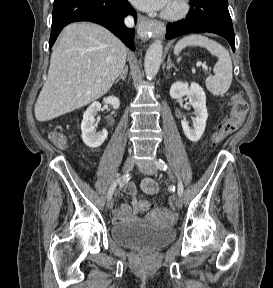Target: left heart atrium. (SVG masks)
I'll return each instance as SVG.
<instances>
[{"label":"left heart atrium","mask_w":273,"mask_h":288,"mask_svg":"<svg viewBox=\"0 0 273 288\" xmlns=\"http://www.w3.org/2000/svg\"><path fill=\"white\" fill-rule=\"evenodd\" d=\"M137 8L143 11H157L165 9L171 0H130Z\"/></svg>","instance_id":"obj_1"}]
</instances>
